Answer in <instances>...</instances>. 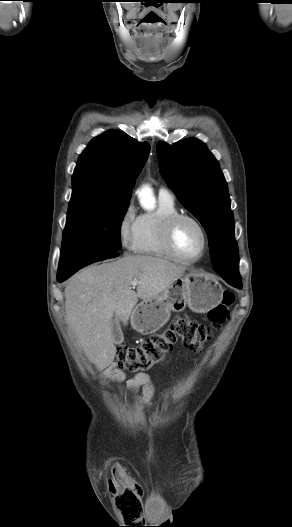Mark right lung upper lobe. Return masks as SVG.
<instances>
[{
    "instance_id": "cb5924a9",
    "label": "right lung upper lobe",
    "mask_w": 292,
    "mask_h": 527,
    "mask_svg": "<svg viewBox=\"0 0 292 527\" xmlns=\"http://www.w3.org/2000/svg\"><path fill=\"white\" fill-rule=\"evenodd\" d=\"M150 146L120 131L95 137L78 159L72 176L74 189H90L115 199H130L135 179Z\"/></svg>"
}]
</instances>
